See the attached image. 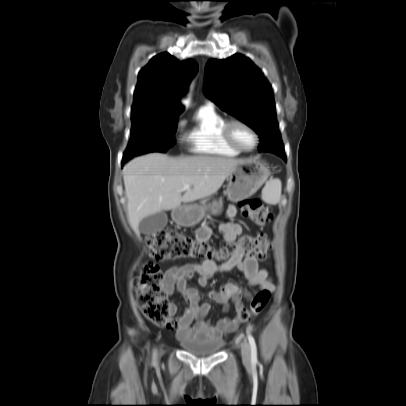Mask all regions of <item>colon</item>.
Listing matches in <instances>:
<instances>
[{
  "instance_id": "colon-1",
  "label": "colon",
  "mask_w": 406,
  "mask_h": 406,
  "mask_svg": "<svg viewBox=\"0 0 406 406\" xmlns=\"http://www.w3.org/2000/svg\"><path fill=\"white\" fill-rule=\"evenodd\" d=\"M241 215L258 225L271 222V210L257 198L244 199L240 202ZM149 255L156 261H173L177 259H242L244 256L264 260L269 255L270 242L263 234H246L228 243L220 250H215L204 242L195 241L177 231H159L146 239ZM133 290L143 315L151 322L167 326L171 323L172 304L169 302L164 275L154 261L141 265L139 274L133 282ZM270 290L259 291L248 307L239 310L238 321L245 323L262 312L270 300Z\"/></svg>"
}]
</instances>
